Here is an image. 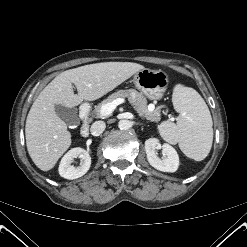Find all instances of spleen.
<instances>
[{
    "label": "spleen",
    "instance_id": "3e777b00",
    "mask_svg": "<svg viewBox=\"0 0 247 247\" xmlns=\"http://www.w3.org/2000/svg\"><path fill=\"white\" fill-rule=\"evenodd\" d=\"M177 122L163 121L161 136L169 143H178L181 151L195 161L204 160L213 142V122L208 106L193 88L176 85L172 95Z\"/></svg>",
    "mask_w": 247,
    "mask_h": 247
}]
</instances>
